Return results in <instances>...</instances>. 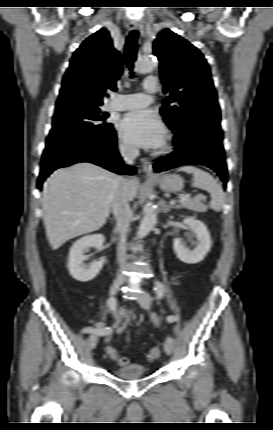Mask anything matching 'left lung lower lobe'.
Here are the masks:
<instances>
[{"instance_id":"1","label":"left lung lower lobe","mask_w":273,"mask_h":430,"mask_svg":"<svg viewBox=\"0 0 273 430\" xmlns=\"http://www.w3.org/2000/svg\"><path fill=\"white\" fill-rule=\"evenodd\" d=\"M222 140L220 120L203 115L196 123L174 136L175 151L155 160L154 171L161 172L181 165L199 164L213 169L226 183L227 166Z\"/></svg>"}]
</instances>
